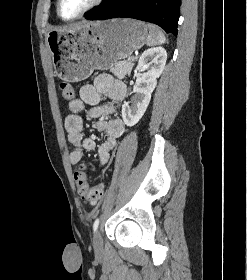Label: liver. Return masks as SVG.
Masks as SVG:
<instances>
[{
  "mask_svg": "<svg viewBox=\"0 0 247 280\" xmlns=\"http://www.w3.org/2000/svg\"><path fill=\"white\" fill-rule=\"evenodd\" d=\"M88 24H89V22L75 23V24H71L67 27L60 28V29H58V31L64 32V31H68V30H72V29H78V28L84 27Z\"/></svg>",
  "mask_w": 247,
  "mask_h": 280,
  "instance_id": "liver-1",
  "label": "liver"
}]
</instances>
